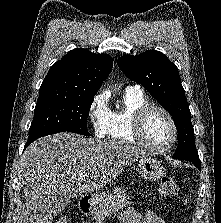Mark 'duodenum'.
Listing matches in <instances>:
<instances>
[{
    "mask_svg": "<svg viewBox=\"0 0 221 223\" xmlns=\"http://www.w3.org/2000/svg\"><path fill=\"white\" fill-rule=\"evenodd\" d=\"M80 209L84 214H87L90 212L91 209V202L90 199L87 197H84L80 200L79 203Z\"/></svg>",
    "mask_w": 221,
    "mask_h": 223,
    "instance_id": "1",
    "label": "duodenum"
}]
</instances>
